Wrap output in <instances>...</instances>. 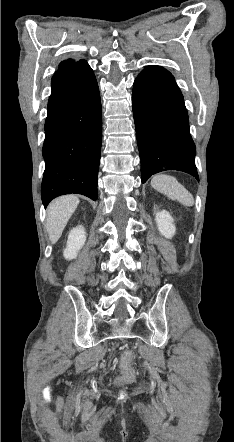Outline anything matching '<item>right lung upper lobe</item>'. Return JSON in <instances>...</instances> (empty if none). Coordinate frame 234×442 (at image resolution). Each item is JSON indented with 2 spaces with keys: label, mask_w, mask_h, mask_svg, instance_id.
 Segmentation results:
<instances>
[{
  "label": "right lung upper lobe",
  "mask_w": 234,
  "mask_h": 442,
  "mask_svg": "<svg viewBox=\"0 0 234 442\" xmlns=\"http://www.w3.org/2000/svg\"><path fill=\"white\" fill-rule=\"evenodd\" d=\"M85 62H86L85 60L75 61V60H72V59H68V60L63 61V62L60 63L57 72L62 71V70H66V69H69V68H72V67L77 66V65L84 64Z\"/></svg>",
  "instance_id": "1"
}]
</instances>
